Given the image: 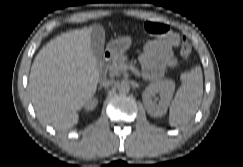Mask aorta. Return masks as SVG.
<instances>
[{
    "instance_id": "1",
    "label": "aorta",
    "mask_w": 243,
    "mask_h": 167,
    "mask_svg": "<svg viewBox=\"0 0 243 167\" xmlns=\"http://www.w3.org/2000/svg\"><path fill=\"white\" fill-rule=\"evenodd\" d=\"M130 90V86L127 84V83H121L119 86H118V91L120 93H128Z\"/></svg>"
}]
</instances>
